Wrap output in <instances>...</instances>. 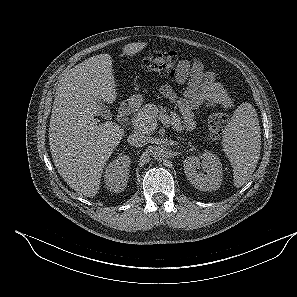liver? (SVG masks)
I'll return each instance as SVG.
<instances>
[{
  "mask_svg": "<svg viewBox=\"0 0 297 297\" xmlns=\"http://www.w3.org/2000/svg\"><path fill=\"white\" fill-rule=\"evenodd\" d=\"M146 43H130L123 54L133 56ZM116 84L109 54H99L70 69L60 80L49 125L53 162L63 180L85 197L100 189L103 169L124 130L116 123H99L97 101L112 104Z\"/></svg>",
  "mask_w": 297,
  "mask_h": 297,
  "instance_id": "liver-1",
  "label": "liver"
}]
</instances>
